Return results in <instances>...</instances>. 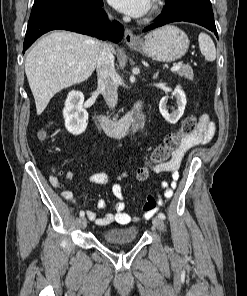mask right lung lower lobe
Here are the masks:
<instances>
[{
  "mask_svg": "<svg viewBox=\"0 0 247 296\" xmlns=\"http://www.w3.org/2000/svg\"><path fill=\"white\" fill-rule=\"evenodd\" d=\"M102 0H35L23 44V53L42 34L64 29L118 43L124 27L117 21L106 25Z\"/></svg>",
  "mask_w": 247,
  "mask_h": 296,
  "instance_id": "obj_1",
  "label": "right lung lower lobe"
}]
</instances>
